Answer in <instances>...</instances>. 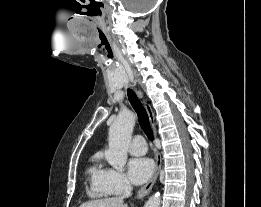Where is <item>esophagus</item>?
<instances>
[{
    "label": "esophagus",
    "mask_w": 261,
    "mask_h": 207,
    "mask_svg": "<svg viewBox=\"0 0 261 207\" xmlns=\"http://www.w3.org/2000/svg\"><path fill=\"white\" fill-rule=\"evenodd\" d=\"M140 97L142 98V94H140ZM143 104L148 113L151 125H152L154 131L156 132L153 110H152L150 104L144 98H143ZM160 169H161V159L159 157H157L155 171H154L153 175L151 176V178L149 179V181L138 191V193H137L138 199L143 198L150 193L154 183L156 182V180L158 178Z\"/></svg>",
    "instance_id": "1"
}]
</instances>
